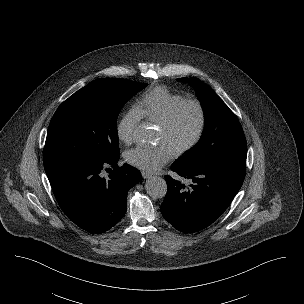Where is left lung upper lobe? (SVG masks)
<instances>
[{
	"label": "left lung upper lobe",
	"mask_w": 304,
	"mask_h": 304,
	"mask_svg": "<svg viewBox=\"0 0 304 304\" xmlns=\"http://www.w3.org/2000/svg\"><path fill=\"white\" fill-rule=\"evenodd\" d=\"M179 80L191 84L196 90L204 111L205 127L200 142L176 162L191 169L221 163L245 165L247 143L235 114L209 86L197 78Z\"/></svg>",
	"instance_id": "left-lung-upper-lobe-1"
}]
</instances>
